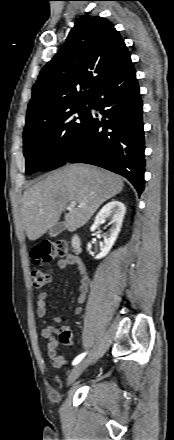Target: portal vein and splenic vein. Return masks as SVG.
I'll list each match as a JSON object with an SVG mask.
<instances>
[{
	"label": "portal vein and splenic vein",
	"mask_w": 174,
	"mask_h": 440,
	"mask_svg": "<svg viewBox=\"0 0 174 440\" xmlns=\"http://www.w3.org/2000/svg\"><path fill=\"white\" fill-rule=\"evenodd\" d=\"M70 207H75L76 206V202L75 201H71L69 204ZM84 204H80L79 207H83Z\"/></svg>",
	"instance_id": "portal-vein-and-splenic-vein-1"
}]
</instances>
